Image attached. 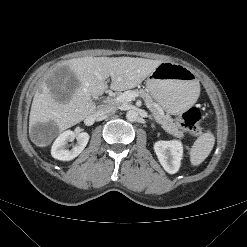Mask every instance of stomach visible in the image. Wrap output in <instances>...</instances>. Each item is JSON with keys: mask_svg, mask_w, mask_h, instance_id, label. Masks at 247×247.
<instances>
[{"mask_svg": "<svg viewBox=\"0 0 247 247\" xmlns=\"http://www.w3.org/2000/svg\"><path fill=\"white\" fill-rule=\"evenodd\" d=\"M146 88L157 103L172 115L181 114L198 99L200 86L184 65L162 62L148 76Z\"/></svg>", "mask_w": 247, "mask_h": 247, "instance_id": "0dacf381", "label": "stomach"}]
</instances>
